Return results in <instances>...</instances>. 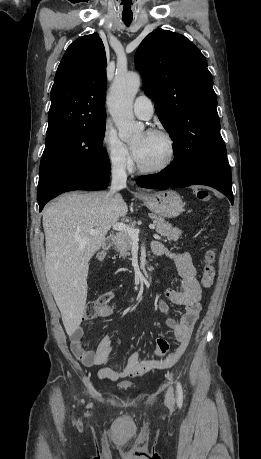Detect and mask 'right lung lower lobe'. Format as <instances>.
<instances>
[{"instance_id":"98d812e1","label":"right lung lower lobe","mask_w":261,"mask_h":459,"mask_svg":"<svg viewBox=\"0 0 261 459\" xmlns=\"http://www.w3.org/2000/svg\"><path fill=\"white\" fill-rule=\"evenodd\" d=\"M109 170H80L56 179L42 193L37 194L40 211L59 194L72 190H102L109 184Z\"/></svg>"}]
</instances>
